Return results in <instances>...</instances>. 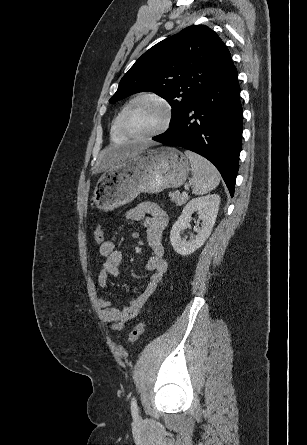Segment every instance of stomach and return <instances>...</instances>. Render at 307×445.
<instances>
[{"mask_svg": "<svg viewBox=\"0 0 307 445\" xmlns=\"http://www.w3.org/2000/svg\"><path fill=\"white\" fill-rule=\"evenodd\" d=\"M190 162L173 146L142 148L127 162H117L101 174L93 200L99 210H113L134 200L141 192L156 194L178 188L187 180Z\"/></svg>", "mask_w": 307, "mask_h": 445, "instance_id": "obj_1", "label": "stomach"}]
</instances>
